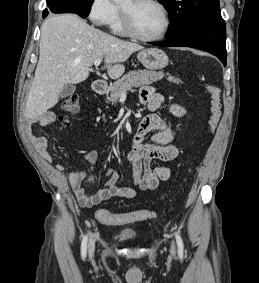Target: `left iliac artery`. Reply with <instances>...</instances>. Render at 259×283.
Listing matches in <instances>:
<instances>
[{
  "instance_id": "left-iliac-artery-1",
  "label": "left iliac artery",
  "mask_w": 259,
  "mask_h": 283,
  "mask_svg": "<svg viewBox=\"0 0 259 283\" xmlns=\"http://www.w3.org/2000/svg\"><path fill=\"white\" fill-rule=\"evenodd\" d=\"M175 238H176V242H177V246H178V254H179V256H183L184 246H183L182 238L180 237V235L177 232H175Z\"/></svg>"
}]
</instances>
